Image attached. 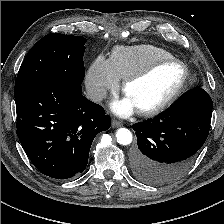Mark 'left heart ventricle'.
<instances>
[{"mask_svg": "<svg viewBox=\"0 0 224 224\" xmlns=\"http://www.w3.org/2000/svg\"><path fill=\"white\" fill-rule=\"evenodd\" d=\"M182 76L183 69L179 64L161 66L145 79L132 83L126 96L137 110L154 107L176 89Z\"/></svg>", "mask_w": 224, "mask_h": 224, "instance_id": "b2bd125f", "label": "left heart ventricle"}]
</instances>
